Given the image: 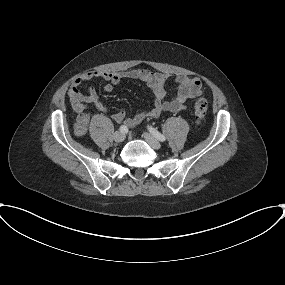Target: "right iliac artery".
Instances as JSON below:
<instances>
[{"instance_id":"obj_1","label":"right iliac artery","mask_w":285,"mask_h":285,"mask_svg":"<svg viewBox=\"0 0 285 285\" xmlns=\"http://www.w3.org/2000/svg\"><path fill=\"white\" fill-rule=\"evenodd\" d=\"M120 131L123 133H126L128 131V128L124 125L120 126Z\"/></svg>"}]
</instances>
